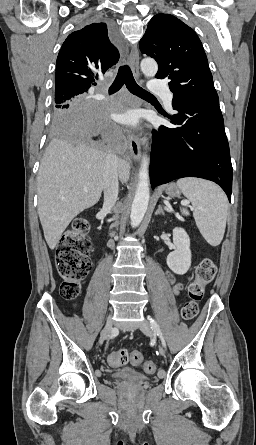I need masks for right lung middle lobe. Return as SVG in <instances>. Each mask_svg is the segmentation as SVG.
<instances>
[{
  "label": "right lung middle lobe",
  "instance_id": "dd1d6c3e",
  "mask_svg": "<svg viewBox=\"0 0 256 445\" xmlns=\"http://www.w3.org/2000/svg\"><path fill=\"white\" fill-rule=\"evenodd\" d=\"M88 100L87 93H76L64 96H55L53 111V128L54 134H64L70 139L71 131L67 127V116L82 101Z\"/></svg>",
  "mask_w": 256,
  "mask_h": 445
}]
</instances>
